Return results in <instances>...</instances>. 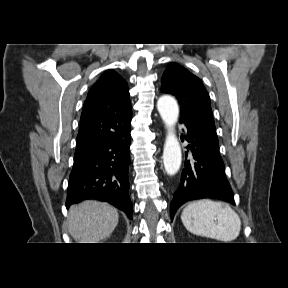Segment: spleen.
<instances>
[{"instance_id": "spleen-1", "label": "spleen", "mask_w": 288, "mask_h": 288, "mask_svg": "<svg viewBox=\"0 0 288 288\" xmlns=\"http://www.w3.org/2000/svg\"><path fill=\"white\" fill-rule=\"evenodd\" d=\"M181 220L185 228L194 235L219 241L235 240L241 230L239 215L224 202H192L183 209Z\"/></svg>"}]
</instances>
